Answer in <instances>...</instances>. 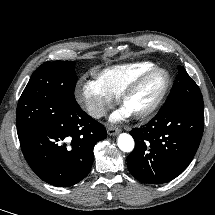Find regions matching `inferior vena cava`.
<instances>
[{
  "label": "inferior vena cava",
  "instance_id": "obj_1",
  "mask_svg": "<svg viewBox=\"0 0 215 215\" xmlns=\"http://www.w3.org/2000/svg\"><path fill=\"white\" fill-rule=\"evenodd\" d=\"M106 113H107V111L105 108L94 107V108H91V110H90L91 116H93L95 118H101V117L105 116Z\"/></svg>",
  "mask_w": 215,
  "mask_h": 215
}]
</instances>
